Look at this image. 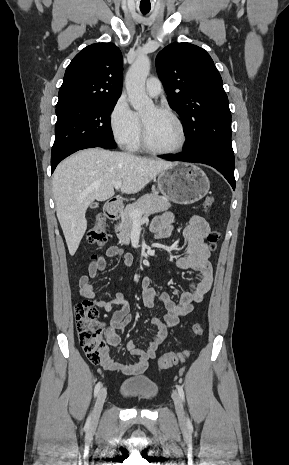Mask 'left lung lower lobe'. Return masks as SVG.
<instances>
[{
    "mask_svg": "<svg viewBox=\"0 0 289 465\" xmlns=\"http://www.w3.org/2000/svg\"><path fill=\"white\" fill-rule=\"evenodd\" d=\"M160 157L170 161L198 162L210 165L221 172L232 188L235 189L233 150L207 145L178 154H167Z\"/></svg>",
    "mask_w": 289,
    "mask_h": 465,
    "instance_id": "left-lung-lower-lobe-1",
    "label": "left lung lower lobe"
}]
</instances>
